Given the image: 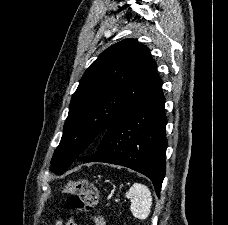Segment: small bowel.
<instances>
[{
    "label": "small bowel",
    "mask_w": 228,
    "mask_h": 225,
    "mask_svg": "<svg viewBox=\"0 0 228 225\" xmlns=\"http://www.w3.org/2000/svg\"><path fill=\"white\" fill-rule=\"evenodd\" d=\"M70 222H72V221H69L66 225H71L70 224ZM74 222V221H73ZM76 223V222H75ZM64 223H63V221L61 220V219H57L56 221H55V225H63ZM74 225H77V224H74Z\"/></svg>",
    "instance_id": "obj_1"
}]
</instances>
